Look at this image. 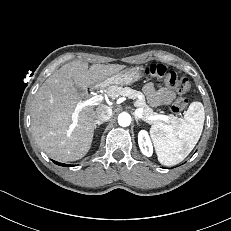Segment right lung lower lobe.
<instances>
[{"label": "right lung lower lobe", "mask_w": 231, "mask_h": 231, "mask_svg": "<svg viewBox=\"0 0 231 231\" xmlns=\"http://www.w3.org/2000/svg\"><path fill=\"white\" fill-rule=\"evenodd\" d=\"M55 162V161H54ZM57 165H60V166H70V165H67V164H63V163H59V162H55Z\"/></svg>", "instance_id": "obj_1"}]
</instances>
